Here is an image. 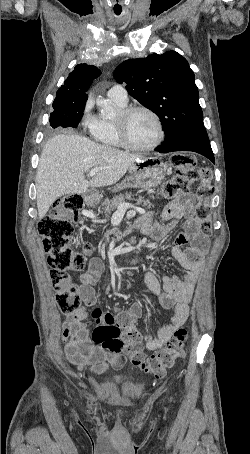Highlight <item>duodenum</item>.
<instances>
[{
  "label": "duodenum",
  "instance_id": "1",
  "mask_svg": "<svg viewBox=\"0 0 250 454\" xmlns=\"http://www.w3.org/2000/svg\"><path fill=\"white\" fill-rule=\"evenodd\" d=\"M87 203H88L89 205H93L94 199H93V198H89V199L87 200ZM136 224H137V223H136ZM136 224H135V226H134L135 229H137Z\"/></svg>",
  "mask_w": 250,
  "mask_h": 454
}]
</instances>
